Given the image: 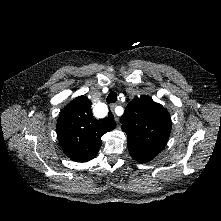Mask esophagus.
Returning a JSON list of instances; mask_svg holds the SVG:
<instances>
[{
  "mask_svg": "<svg viewBox=\"0 0 221 221\" xmlns=\"http://www.w3.org/2000/svg\"><path fill=\"white\" fill-rule=\"evenodd\" d=\"M116 106H117L116 104L110 105V111H111V113H112L113 116H114V120H115V121H118V120H119V117H118V116L115 114V112H114V109H115Z\"/></svg>",
  "mask_w": 221,
  "mask_h": 221,
  "instance_id": "34e87169",
  "label": "esophagus"
}]
</instances>
